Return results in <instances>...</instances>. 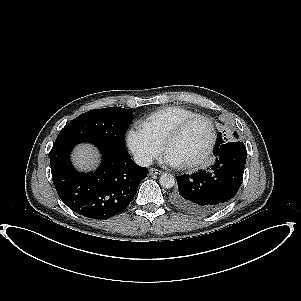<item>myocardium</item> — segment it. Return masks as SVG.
<instances>
[{
  "mask_svg": "<svg viewBox=\"0 0 301 301\" xmlns=\"http://www.w3.org/2000/svg\"><path fill=\"white\" fill-rule=\"evenodd\" d=\"M196 121H204L206 122L208 125H209V128H210V140H209V143H208V146L205 150V152L200 156L198 157L196 160H193V161H190L188 163H186L185 167L186 168H195V167H198V166H201L203 164H205L213 150H214V147H215V144H216V140H217V133H216V129H215V125H214V122L206 117V116H203V115H195L193 117H190L182 122H180L176 127H174L165 137L164 139V142H163V147L165 150H167L170 142L175 139L177 136H179L180 134H182L184 132V130L190 125L192 124L193 122H196Z\"/></svg>",
  "mask_w": 301,
  "mask_h": 301,
  "instance_id": "f54148a6",
  "label": "myocardium"
}]
</instances>
